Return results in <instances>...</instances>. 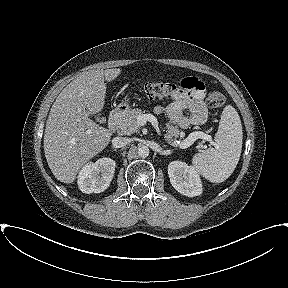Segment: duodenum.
I'll use <instances>...</instances> for the list:
<instances>
[{
    "instance_id": "410a0bca",
    "label": "duodenum",
    "mask_w": 288,
    "mask_h": 288,
    "mask_svg": "<svg viewBox=\"0 0 288 288\" xmlns=\"http://www.w3.org/2000/svg\"><path fill=\"white\" fill-rule=\"evenodd\" d=\"M124 114V109L122 108H116L111 111L109 115L108 120V126L111 130H115L119 121L121 120L122 116Z\"/></svg>"
}]
</instances>
